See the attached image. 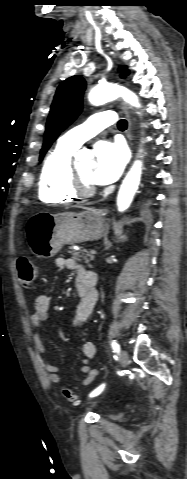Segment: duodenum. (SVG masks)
<instances>
[{
	"label": "duodenum",
	"mask_w": 187,
	"mask_h": 479,
	"mask_svg": "<svg viewBox=\"0 0 187 479\" xmlns=\"http://www.w3.org/2000/svg\"><path fill=\"white\" fill-rule=\"evenodd\" d=\"M96 284H97V279H96L95 274L90 273V274L85 278V281H84V283H83V290H84V292H85V293H91V292L95 291Z\"/></svg>",
	"instance_id": "410a0bca"
}]
</instances>
